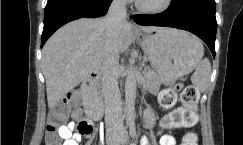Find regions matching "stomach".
Listing matches in <instances>:
<instances>
[{
	"instance_id": "1",
	"label": "stomach",
	"mask_w": 243,
	"mask_h": 145,
	"mask_svg": "<svg viewBox=\"0 0 243 145\" xmlns=\"http://www.w3.org/2000/svg\"><path fill=\"white\" fill-rule=\"evenodd\" d=\"M137 39L165 85H172L178 78L189 74L203 52L197 37L173 28L138 34Z\"/></svg>"
}]
</instances>
